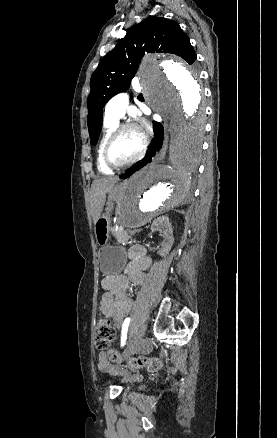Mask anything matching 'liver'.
<instances>
[{"label": "liver", "instance_id": "1", "mask_svg": "<svg viewBox=\"0 0 277 438\" xmlns=\"http://www.w3.org/2000/svg\"><path fill=\"white\" fill-rule=\"evenodd\" d=\"M117 180L118 178H101V180H95V182H93L91 186V194L94 224H96L101 216L103 206L106 202V192L112 190Z\"/></svg>", "mask_w": 277, "mask_h": 438}]
</instances>
